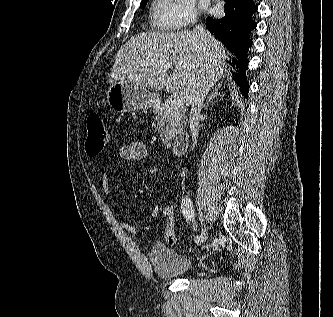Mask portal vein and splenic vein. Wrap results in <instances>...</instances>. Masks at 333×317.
Masks as SVG:
<instances>
[{
    "label": "portal vein and splenic vein",
    "mask_w": 333,
    "mask_h": 317,
    "mask_svg": "<svg viewBox=\"0 0 333 317\" xmlns=\"http://www.w3.org/2000/svg\"><path fill=\"white\" fill-rule=\"evenodd\" d=\"M162 66L166 67L167 65L163 63ZM170 105L173 109L179 110L183 108V101L180 98H174Z\"/></svg>",
    "instance_id": "obj_1"
}]
</instances>
